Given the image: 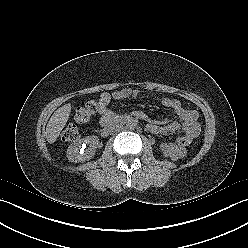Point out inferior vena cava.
Returning a JSON list of instances; mask_svg holds the SVG:
<instances>
[{
  "instance_id": "inferior-vena-cava-1",
  "label": "inferior vena cava",
  "mask_w": 248,
  "mask_h": 248,
  "mask_svg": "<svg viewBox=\"0 0 248 248\" xmlns=\"http://www.w3.org/2000/svg\"><path fill=\"white\" fill-rule=\"evenodd\" d=\"M121 129H122L121 127H118L115 129V131L117 132V131H120Z\"/></svg>"
}]
</instances>
